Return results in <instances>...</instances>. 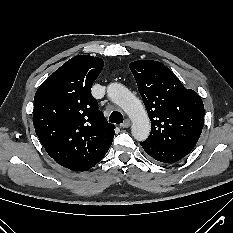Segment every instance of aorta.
I'll return each instance as SVG.
<instances>
[{
  "instance_id": "762f6f07",
  "label": "aorta",
  "mask_w": 233,
  "mask_h": 233,
  "mask_svg": "<svg viewBox=\"0 0 233 233\" xmlns=\"http://www.w3.org/2000/svg\"><path fill=\"white\" fill-rule=\"evenodd\" d=\"M107 95L120 106L132 121L131 132L134 139L144 141L150 134L151 126L147 112L141 101L120 83H111Z\"/></svg>"
}]
</instances>
